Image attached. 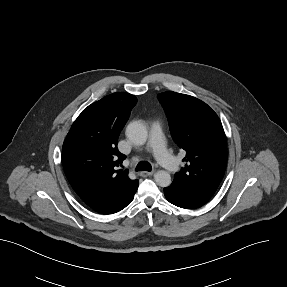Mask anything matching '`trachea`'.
<instances>
[{"label": "trachea", "instance_id": "3493384b", "mask_svg": "<svg viewBox=\"0 0 287 287\" xmlns=\"http://www.w3.org/2000/svg\"><path fill=\"white\" fill-rule=\"evenodd\" d=\"M152 167L149 162L141 161L137 164L135 171H151Z\"/></svg>", "mask_w": 287, "mask_h": 287}]
</instances>
